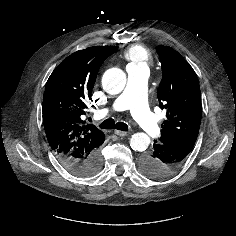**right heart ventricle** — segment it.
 Segmentation results:
<instances>
[{
    "label": "right heart ventricle",
    "mask_w": 236,
    "mask_h": 236,
    "mask_svg": "<svg viewBox=\"0 0 236 236\" xmlns=\"http://www.w3.org/2000/svg\"><path fill=\"white\" fill-rule=\"evenodd\" d=\"M124 57L129 62L128 66H148L152 61L149 51L140 45L129 47Z\"/></svg>",
    "instance_id": "right-heart-ventricle-1"
}]
</instances>
